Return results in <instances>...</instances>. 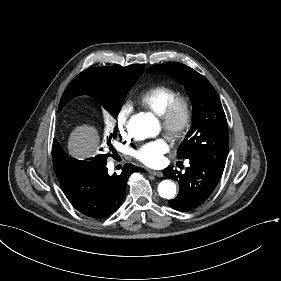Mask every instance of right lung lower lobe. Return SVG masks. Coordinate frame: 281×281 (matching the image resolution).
<instances>
[{
	"mask_svg": "<svg viewBox=\"0 0 281 281\" xmlns=\"http://www.w3.org/2000/svg\"><path fill=\"white\" fill-rule=\"evenodd\" d=\"M53 146H59L56 140ZM108 157L105 154L90 161L89 166L75 176L58 178L70 203L91 218H104L115 212L125 196L130 174L144 171L132 164H125L121 174L110 175L106 167Z\"/></svg>",
	"mask_w": 281,
	"mask_h": 281,
	"instance_id": "1",
	"label": "right lung lower lobe"
}]
</instances>
